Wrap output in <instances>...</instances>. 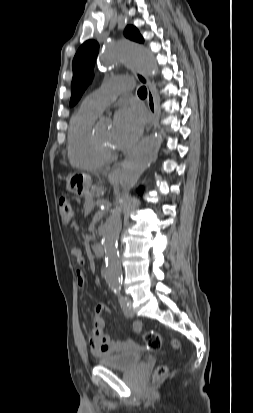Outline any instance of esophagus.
Wrapping results in <instances>:
<instances>
[{
    "label": "esophagus",
    "mask_w": 253,
    "mask_h": 413,
    "mask_svg": "<svg viewBox=\"0 0 253 413\" xmlns=\"http://www.w3.org/2000/svg\"><path fill=\"white\" fill-rule=\"evenodd\" d=\"M134 76L136 79L146 86L147 88V105H148V110H149V121L146 127V132L150 131V129L153 127L155 118H156V111H157V104L154 96L153 89L151 87V83L149 79L143 75L142 73L138 71L133 72ZM121 172V166H116L109 174V177L111 178H118Z\"/></svg>",
    "instance_id": "obj_1"
}]
</instances>
